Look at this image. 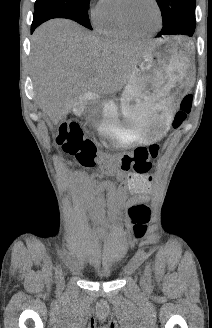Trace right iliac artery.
I'll return each instance as SVG.
<instances>
[{
	"instance_id": "obj_1",
	"label": "right iliac artery",
	"mask_w": 212,
	"mask_h": 328,
	"mask_svg": "<svg viewBox=\"0 0 212 328\" xmlns=\"http://www.w3.org/2000/svg\"><path fill=\"white\" fill-rule=\"evenodd\" d=\"M60 274H61V268L58 266V267L56 268V279H57V280L59 279Z\"/></svg>"
}]
</instances>
